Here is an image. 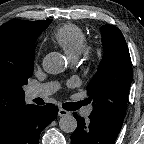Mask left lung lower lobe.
<instances>
[{
	"mask_svg": "<svg viewBox=\"0 0 144 144\" xmlns=\"http://www.w3.org/2000/svg\"><path fill=\"white\" fill-rule=\"evenodd\" d=\"M74 116L78 126L71 136L72 144H114L121 130V127L92 114H90L88 121L76 113Z\"/></svg>",
	"mask_w": 144,
	"mask_h": 144,
	"instance_id": "obj_1",
	"label": "left lung lower lobe"
}]
</instances>
